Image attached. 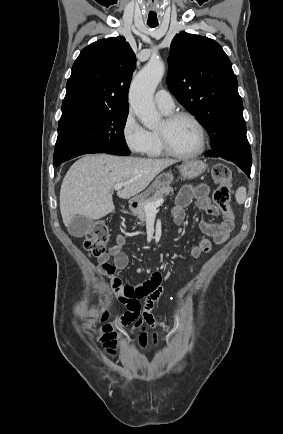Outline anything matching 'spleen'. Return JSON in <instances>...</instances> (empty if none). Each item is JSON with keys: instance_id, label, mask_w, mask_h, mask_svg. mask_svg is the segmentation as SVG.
<instances>
[{"instance_id": "obj_1", "label": "spleen", "mask_w": 283, "mask_h": 434, "mask_svg": "<svg viewBox=\"0 0 283 434\" xmlns=\"http://www.w3.org/2000/svg\"><path fill=\"white\" fill-rule=\"evenodd\" d=\"M235 197L238 204H243L246 199V188L245 187L238 188Z\"/></svg>"}]
</instances>
